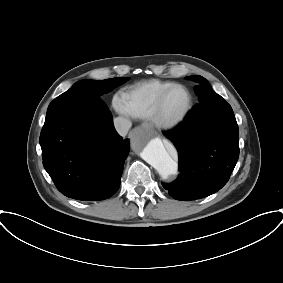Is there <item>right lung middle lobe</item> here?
Masks as SVG:
<instances>
[{"label": "right lung middle lobe", "mask_w": 283, "mask_h": 283, "mask_svg": "<svg viewBox=\"0 0 283 283\" xmlns=\"http://www.w3.org/2000/svg\"><path fill=\"white\" fill-rule=\"evenodd\" d=\"M127 78H113L101 81L82 80L75 83L68 91L54 99L47 110V115L61 109H77L100 100V96L123 84Z\"/></svg>", "instance_id": "right-lung-middle-lobe-1"}]
</instances>
